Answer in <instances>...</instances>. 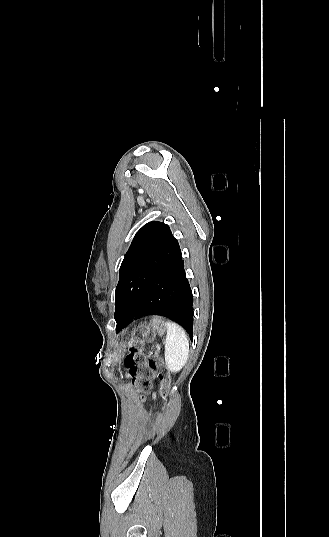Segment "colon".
<instances>
[{
	"mask_svg": "<svg viewBox=\"0 0 329 537\" xmlns=\"http://www.w3.org/2000/svg\"><path fill=\"white\" fill-rule=\"evenodd\" d=\"M147 336L143 331L134 334L124 359V365L135 378L136 387L142 393L150 388L152 378H159L160 394L162 399H165L170 385V374L155 350H151L147 355L144 354L143 347Z\"/></svg>",
	"mask_w": 329,
	"mask_h": 537,
	"instance_id": "obj_1",
	"label": "colon"
}]
</instances>
